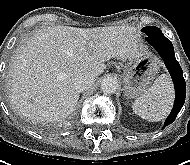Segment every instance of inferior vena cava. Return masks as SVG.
I'll use <instances>...</instances> for the list:
<instances>
[{
    "mask_svg": "<svg viewBox=\"0 0 190 165\" xmlns=\"http://www.w3.org/2000/svg\"><path fill=\"white\" fill-rule=\"evenodd\" d=\"M95 82V76L92 74H79L74 78V85L78 92H83Z\"/></svg>",
    "mask_w": 190,
    "mask_h": 165,
    "instance_id": "inferior-vena-cava-1",
    "label": "inferior vena cava"
}]
</instances>
